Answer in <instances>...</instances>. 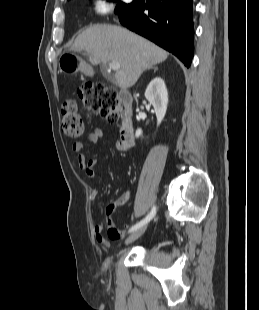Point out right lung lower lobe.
<instances>
[{"mask_svg": "<svg viewBox=\"0 0 259 310\" xmlns=\"http://www.w3.org/2000/svg\"><path fill=\"white\" fill-rule=\"evenodd\" d=\"M192 11V0H147L146 4L134 0L119 19L122 25L173 53L189 67L194 53Z\"/></svg>", "mask_w": 259, "mask_h": 310, "instance_id": "obj_1", "label": "right lung lower lobe"}]
</instances>
